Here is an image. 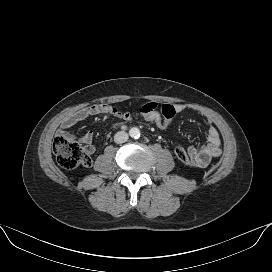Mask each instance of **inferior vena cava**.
I'll return each mask as SVG.
<instances>
[{
	"label": "inferior vena cava",
	"instance_id": "inferior-vena-cava-1",
	"mask_svg": "<svg viewBox=\"0 0 272 272\" xmlns=\"http://www.w3.org/2000/svg\"><path fill=\"white\" fill-rule=\"evenodd\" d=\"M128 140V134L125 131H119L114 136V141L116 143H124Z\"/></svg>",
	"mask_w": 272,
	"mask_h": 272
}]
</instances>
